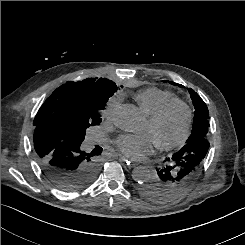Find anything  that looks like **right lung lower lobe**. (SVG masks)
<instances>
[{"label": "right lung lower lobe", "instance_id": "1", "mask_svg": "<svg viewBox=\"0 0 245 245\" xmlns=\"http://www.w3.org/2000/svg\"><path fill=\"white\" fill-rule=\"evenodd\" d=\"M81 143L61 141L53 135L34 139L38 164L46 178L65 192L79 191L89 186L97 177L99 162L82 151Z\"/></svg>", "mask_w": 245, "mask_h": 245}]
</instances>
